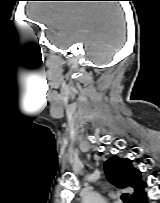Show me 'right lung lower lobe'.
Here are the masks:
<instances>
[{
	"mask_svg": "<svg viewBox=\"0 0 160 203\" xmlns=\"http://www.w3.org/2000/svg\"><path fill=\"white\" fill-rule=\"evenodd\" d=\"M139 203H147L146 195L143 196V198L139 201Z\"/></svg>",
	"mask_w": 160,
	"mask_h": 203,
	"instance_id": "98d812e1",
	"label": "right lung lower lobe"
}]
</instances>
